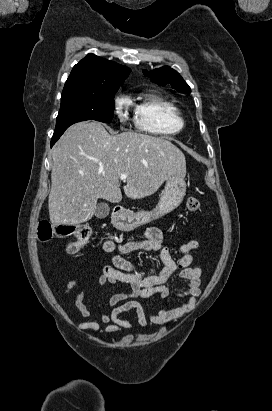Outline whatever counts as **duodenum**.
<instances>
[{"mask_svg": "<svg viewBox=\"0 0 272 411\" xmlns=\"http://www.w3.org/2000/svg\"><path fill=\"white\" fill-rule=\"evenodd\" d=\"M123 210H124L123 207L117 206V207L114 209V212H115L116 214H120Z\"/></svg>", "mask_w": 272, "mask_h": 411, "instance_id": "1", "label": "duodenum"}]
</instances>
